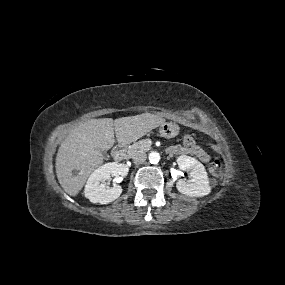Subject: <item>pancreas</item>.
Instances as JSON below:
<instances>
[{"label": "pancreas", "instance_id": "1", "mask_svg": "<svg viewBox=\"0 0 285 285\" xmlns=\"http://www.w3.org/2000/svg\"><path fill=\"white\" fill-rule=\"evenodd\" d=\"M150 149L148 141L143 139L132 144L128 149L129 156L133 157L137 153H143Z\"/></svg>", "mask_w": 285, "mask_h": 285}]
</instances>
